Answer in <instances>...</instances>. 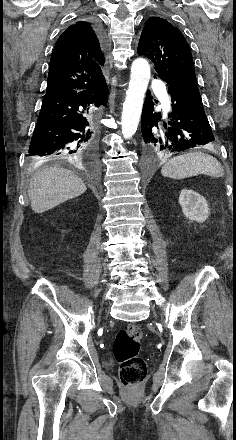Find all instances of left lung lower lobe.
Instances as JSON below:
<instances>
[{
  "mask_svg": "<svg viewBox=\"0 0 236 440\" xmlns=\"http://www.w3.org/2000/svg\"><path fill=\"white\" fill-rule=\"evenodd\" d=\"M172 112L160 126L161 113L147 92L142 111V136L149 156L175 154L215 140L204 112L196 78L180 77L168 83ZM157 103V101L155 100Z\"/></svg>",
  "mask_w": 236,
  "mask_h": 440,
  "instance_id": "obj_1",
  "label": "left lung lower lobe"
}]
</instances>
